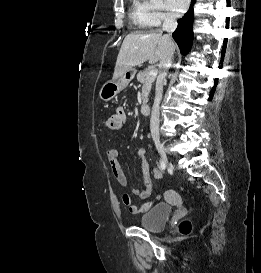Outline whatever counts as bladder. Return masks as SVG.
Instances as JSON below:
<instances>
[{
    "label": "bladder",
    "instance_id": "bladder-1",
    "mask_svg": "<svg viewBox=\"0 0 261 273\" xmlns=\"http://www.w3.org/2000/svg\"><path fill=\"white\" fill-rule=\"evenodd\" d=\"M172 213V205L164 202L153 204L139 219L141 227L160 231L165 228Z\"/></svg>",
    "mask_w": 261,
    "mask_h": 273
}]
</instances>
